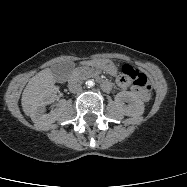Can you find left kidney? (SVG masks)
Wrapping results in <instances>:
<instances>
[{
    "mask_svg": "<svg viewBox=\"0 0 187 187\" xmlns=\"http://www.w3.org/2000/svg\"><path fill=\"white\" fill-rule=\"evenodd\" d=\"M127 102V106L124 105ZM115 103L119 111L127 116H140L144 112V103L132 92L122 91L115 96Z\"/></svg>",
    "mask_w": 187,
    "mask_h": 187,
    "instance_id": "obj_1",
    "label": "left kidney"
}]
</instances>
